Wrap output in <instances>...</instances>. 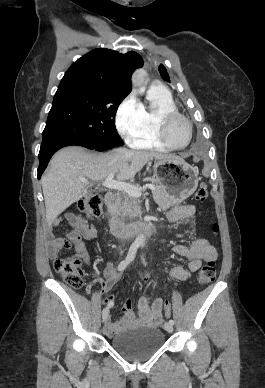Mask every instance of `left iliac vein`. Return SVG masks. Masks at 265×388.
Segmentation results:
<instances>
[{
    "label": "left iliac vein",
    "instance_id": "1",
    "mask_svg": "<svg viewBox=\"0 0 265 388\" xmlns=\"http://www.w3.org/2000/svg\"><path fill=\"white\" fill-rule=\"evenodd\" d=\"M164 329H165L167 332L172 333V332H173V325L170 324L169 322H166V323L164 324Z\"/></svg>",
    "mask_w": 265,
    "mask_h": 388
}]
</instances>
